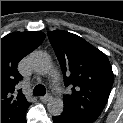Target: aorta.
Returning a JSON list of instances; mask_svg holds the SVG:
<instances>
[{
    "mask_svg": "<svg viewBox=\"0 0 123 123\" xmlns=\"http://www.w3.org/2000/svg\"><path fill=\"white\" fill-rule=\"evenodd\" d=\"M30 64L33 70L41 75L47 74L51 70V61L49 56L42 51H36L30 56ZM48 112L53 116H59L64 109L63 100L52 98L47 104Z\"/></svg>",
    "mask_w": 123,
    "mask_h": 123,
    "instance_id": "aorta-1",
    "label": "aorta"
}]
</instances>
